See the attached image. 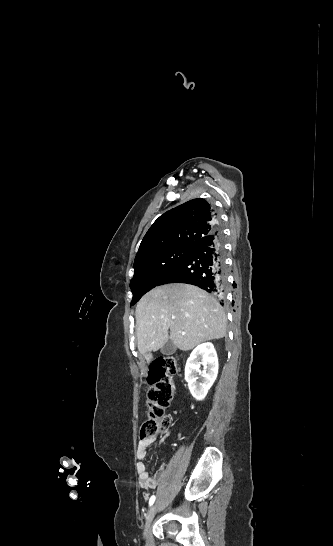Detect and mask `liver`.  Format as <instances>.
<instances>
[{
    "label": "liver",
    "instance_id": "6515ba94",
    "mask_svg": "<svg viewBox=\"0 0 333 546\" xmlns=\"http://www.w3.org/2000/svg\"><path fill=\"white\" fill-rule=\"evenodd\" d=\"M138 349L147 364L152 351L172 341L182 351L226 335L218 301L194 285L171 283L146 293L136 306ZM170 329V335L169 330Z\"/></svg>",
    "mask_w": 333,
    "mask_h": 546
}]
</instances>
